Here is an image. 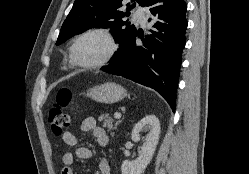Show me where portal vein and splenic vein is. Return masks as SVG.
<instances>
[{"label": "portal vein and splenic vein", "instance_id": "1", "mask_svg": "<svg viewBox=\"0 0 249 174\" xmlns=\"http://www.w3.org/2000/svg\"><path fill=\"white\" fill-rule=\"evenodd\" d=\"M114 118L115 119H120L121 118V114L118 113V112L114 113Z\"/></svg>", "mask_w": 249, "mask_h": 174}]
</instances>
